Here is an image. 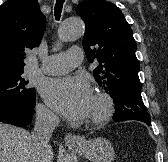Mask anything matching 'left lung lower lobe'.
Returning a JSON list of instances; mask_svg holds the SVG:
<instances>
[{
  "instance_id": "0a47b994",
  "label": "left lung lower lobe",
  "mask_w": 168,
  "mask_h": 162,
  "mask_svg": "<svg viewBox=\"0 0 168 162\" xmlns=\"http://www.w3.org/2000/svg\"><path fill=\"white\" fill-rule=\"evenodd\" d=\"M117 112L113 116L115 121L137 120L151 125L150 115L144 106L140 95H129L114 100Z\"/></svg>"
}]
</instances>
